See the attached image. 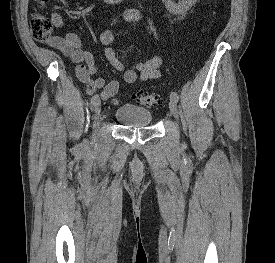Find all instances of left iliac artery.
Returning <instances> with one entry per match:
<instances>
[{
    "label": "left iliac artery",
    "mask_w": 275,
    "mask_h": 263,
    "mask_svg": "<svg viewBox=\"0 0 275 263\" xmlns=\"http://www.w3.org/2000/svg\"><path fill=\"white\" fill-rule=\"evenodd\" d=\"M170 100H173L174 102H178L179 101V95L177 92H171L170 94Z\"/></svg>",
    "instance_id": "1"
}]
</instances>
